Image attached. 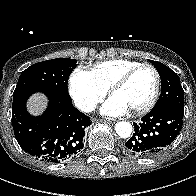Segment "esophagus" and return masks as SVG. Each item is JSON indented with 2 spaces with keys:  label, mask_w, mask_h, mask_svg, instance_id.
I'll return each instance as SVG.
<instances>
[{
  "label": "esophagus",
  "mask_w": 196,
  "mask_h": 196,
  "mask_svg": "<svg viewBox=\"0 0 196 196\" xmlns=\"http://www.w3.org/2000/svg\"><path fill=\"white\" fill-rule=\"evenodd\" d=\"M101 122L108 123V124L112 123V121H109V120H107V121L104 120V121H101Z\"/></svg>",
  "instance_id": "esophagus-1"
}]
</instances>
